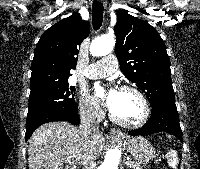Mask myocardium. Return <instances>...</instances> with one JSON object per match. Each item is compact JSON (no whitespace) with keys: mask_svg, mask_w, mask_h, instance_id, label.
I'll use <instances>...</instances> for the list:
<instances>
[{"mask_svg":"<svg viewBox=\"0 0 200 169\" xmlns=\"http://www.w3.org/2000/svg\"><path fill=\"white\" fill-rule=\"evenodd\" d=\"M119 91H130V92H133L135 93L141 100L142 102V105H143V115L142 117L140 118V120H138L137 122H133V123H129V122H125V121H122L118 118H116L112 112L110 111L109 112V118L110 120L121 126V127H124V128H129V129H138V128H141L142 126H144L149 118H150V115H151V107H150V103L146 97V95L136 86H133V85H122L120 88H119Z\"/></svg>","mask_w":200,"mask_h":169,"instance_id":"obj_1","label":"myocardium"}]
</instances>
